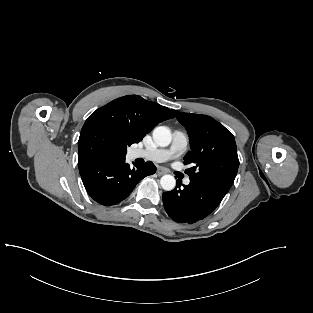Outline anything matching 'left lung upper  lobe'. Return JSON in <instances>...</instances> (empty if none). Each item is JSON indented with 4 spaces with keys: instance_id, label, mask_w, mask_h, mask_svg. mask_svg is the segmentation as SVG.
I'll list each match as a JSON object with an SVG mask.
<instances>
[{
    "instance_id": "5c2ea615",
    "label": "left lung upper lobe",
    "mask_w": 313,
    "mask_h": 313,
    "mask_svg": "<svg viewBox=\"0 0 313 313\" xmlns=\"http://www.w3.org/2000/svg\"><path fill=\"white\" fill-rule=\"evenodd\" d=\"M185 126L190 148L184 157L190 180L211 183L227 191L236 177L239 159L234 136L222 124L207 115L175 111Z\"/></svg>"
}]
</instances>
